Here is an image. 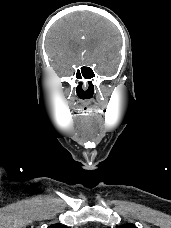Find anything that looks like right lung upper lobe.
<instances>
[{
	"mask_svg": "<svg viewBox=\"0 0 171 228\" xmlns=\"http://www.w3.org/2000/svg\"><path fill=\"white\" fill-rule=\"evenodd\" d=\"M48 228H67V227L63 226V225H59V224H54V225L49 226Z\"/></svg>",
	"mask_w": 171,
	"mask_h": 228,
	"instance_id": "1",
	"label": "right lung upper lobe"
}]
</instances>
